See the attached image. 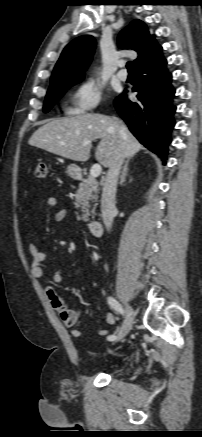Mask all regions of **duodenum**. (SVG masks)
Segmentation results:
<instances>
[{"label": "duodenum", "mask_w": 202, "mask_h": 437, "mask_svg": "<svg viewBox=\"0 0 202 437\" xmlns=\"http://www.w3.org/2000/svg\"><path fill=\"white\" fill-rule=\"evenodd\" d=\"M90 233L95 236L99 237L102 234V223L99 220H92L88 224Z\"/></svg>", "instance_id": "410a0bca"}]
</instances>
